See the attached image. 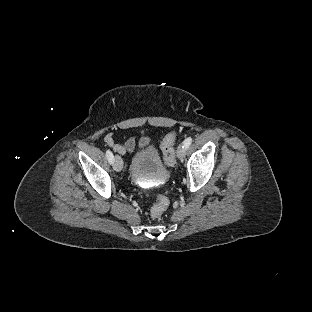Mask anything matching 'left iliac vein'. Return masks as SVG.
<instances>
[{
  "label": "left iliac vein",
  "mask_w": 312,
  "mask_h": 312,
  "mask_svg": "<svg viewBox=\"0 0 312 312\" xmlns=\"http://www.w3.org/2000/svg\"><path fill=\"white\" fill-rule=\"evenodd\" d=\"M185 154H186V147L184 144H181L179 147H178V150H177V156L179 159H184L185 157Z\"/></svg>",
  "instance_id": "1"
}]
</instances>
